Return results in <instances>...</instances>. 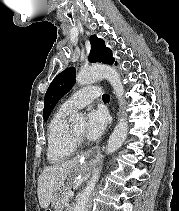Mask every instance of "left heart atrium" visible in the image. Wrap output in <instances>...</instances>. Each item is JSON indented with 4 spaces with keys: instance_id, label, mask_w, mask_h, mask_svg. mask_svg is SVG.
Instances as JSON below:
<instances>
[{
    "instance_id": "1",
    "label": "left heart atrium",
    "mask_w": 179,
    "mask_h": 211,
    "mask_svg": "<svg viewBox=\"0 0 179 211\" xmlns=\"http://www.w3.org/2000/svg\"><path fill=\"white\" fill-rule=\"evenodd\" d=\"M108 125V115L103 109H93L88 113L85 136L88 140H98Z\"/></svg>"
}]
</instances>
